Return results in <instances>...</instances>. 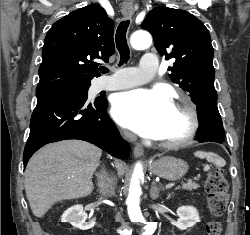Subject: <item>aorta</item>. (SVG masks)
<instances>
[{"label":"aorta","instance_id":"obj_1","mask_svg":"<svg viewBox=\"0 0 250 235\" xmlns=\"http://www.w3.org/2000/svg\"><path fill=\"white\" fill-rule=\"evenodd\" d=\"M131 45L135 49H146L152 44V37L147 31H137L132 34L130 39ZM143 171L140 163H137L131 178L129 193L127 197L128 215L132 222H144V217L140 210L141 187L139 178L142 177ZM157 228L156 222H147L142 235H152Z\"/></svg>","mask_w":250,"mask_h":235}]
</instances>
